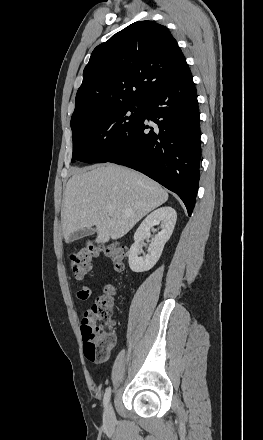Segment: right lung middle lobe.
Returning <instances> with one entry per match:
<instances>
[{
  "instance_id": "obj_1",
  "label": "right lung middle lobe",
  "mask_w": 263,
  "mask_h": 440,
  "mask_svg": "<svg viewBox=\"0 0 263 440\" xmlns=\"http://www.w3.org/2000/svg\"><path fill=\"white\" fill-rule=\"evenodd\" d=\"M142 103L106 108L82 117L72 127L73 155L76 160L93 163L135 130L142 118Z\"/></svg>"
}]
</instances>
